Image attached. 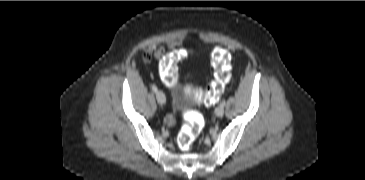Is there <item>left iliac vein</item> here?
<instances>
[{"label":"left iliac vein","mask_w":365,"mask_h":180,"mask_svg":"<svg viewBox=\"0 0 365 180\" xmlns=\"http://www.w3.org/2000/svg\"><path fill=\"white\" fill-rule=\"evenodd\" d=\"M215 114H216V116H218V117H222V116H223V114H224V106H222V105L217 106V107L215 108Z\"/></svg>","instance_id":"1"}]
</instances>
